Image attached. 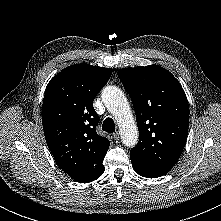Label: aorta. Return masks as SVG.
Masks as SVG:
<instances>
[{
	"label": "aorta",
	"mask_w": 221,
	"mask_h": 221,
	"mask_svg": "<svg viewBox=\"0 0 221 221\" xmlns=\"http://www.w3.org/2000/svg\"><path fill=\"white\" fill-rule=\"evenodd\" d=\"M102 100L117 121L121 140L125 146L133 147L138 142V129L127 98L116 86H107L102 91Z\"/></svg>",
	"instance_id": "obj_1"
}]
</instances>
